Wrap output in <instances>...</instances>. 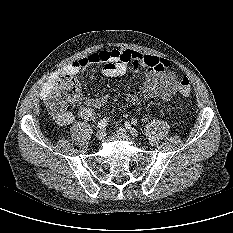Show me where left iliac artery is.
<instances>
[{
	"label": "left iliac artery",
	"mask_w": 233,
	"mask_h": 233,
	"mask_svg": "<svg viewBox=\"0 0 233 233\" xmlns=\"http://www.w3.org/2000/svg\"><path fill=\"white\" fill-rule=\"evenodd\" d=\"M131 124H132V125H136V124H137V120H136V119H134V118H133V119H131Z\"/></svg>",
	"instance_id": "obj_1"
}]
</instances>
